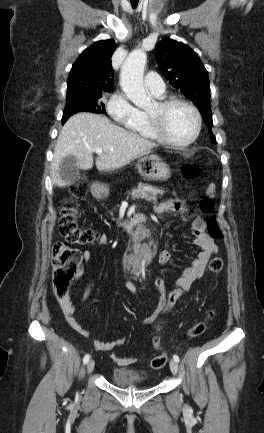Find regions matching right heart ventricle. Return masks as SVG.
<instances>
[{
	"label": "right heart ventricle",
	"instance_id": "e07e8e85",
	"mask_svg": "<svg viewBox=\"0 0 264 433\" xmlns=\"http://www.w3.org/2000/svg\"><path fill=\"white\" fill-rule=\"evenodd\" d=\"M156 97L159 99H163L164 96L161 95V96H156ZM128 128L131 132H133V133H135V134H137L143 138L159 141V138L157 137V135L154 133V131L151 128V125L149 123V119H148L146 111L138 110V117H137L136 121L134 123L128 125Z\"/></svg>",
	"mask_w": 264,
	"mask_h": 433
}]
</instances>
